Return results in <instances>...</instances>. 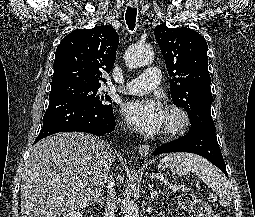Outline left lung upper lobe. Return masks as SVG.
Instances as JSON below:
<instances>
[{"instance_id":"left-lung-upper-lobe-1","label":"left lung upper lobe","mask_w":255,"mask_h":217,"mask_svg":"<svg viewBox=\"0 0 255 217\" xmlns=\"http://www.w3.org/2000/svg\"><path fill=\"white\" fill-rule=\"evenodd\" d=\"M154 33L172 77L173 103L186 110L191 127L203 122L214 123L210 111L208 46L204 37L190 28H168L165 24L156 26Z\"/></svg>"}]
</instances>
